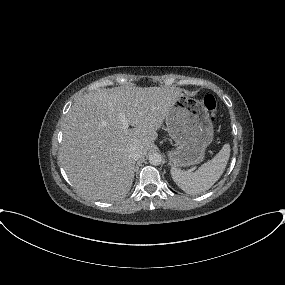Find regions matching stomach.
Here are the masks:
<instances>
[{
  "label": "stomach",
  "mask_w": 285,
  "mask_h": 285,
  "mask_svg": "<svg viewBox=\"0 0 285 285\" xmlns=\"http://www.w3.org/2000/svg\"><path fill=\"white\" fill-rule=\"evenodd\" d=\"M166 125L176 146L169 151V160L173 167H188L201 163L214 133L204 105L182 94L172 104L166 117Z\"/></svg>",
  "instance_id": "stomach-1"
}]
</instances>
